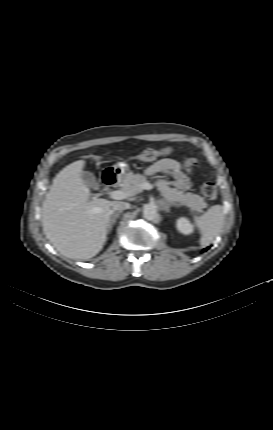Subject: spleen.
<instances>
[{
    "label": "spleen",
    "instance_id": "1",
    "mask_svg": "<svg viewBox=\"0 0 273 430\" xmlns=\"http://www.w3.org/2000/svg\"><path fill=\"white\" fill-rule=\"evenodd\" d=\"M224 208L221 205L210 207L203 215L194 218L195 225L201 232L200 244L207 247L221 232L224 225Z\"/></svg>",
    "mask_w": 273,
    "mask_h": 430
}]
</instances>
